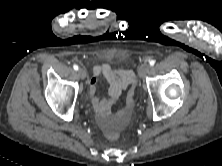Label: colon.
Here are the masks:
<instances>
[{"label": "colon", "instance_id": "5ec220e1", "mask_svg": "<svg viewBox=\"0 0 222 166\" xmlns=\"http://www.w3.org/2000/svg\"><path fill=\"white\" fill-rule=\"evenodd\" d=\"M133 91H130L127 98V104H126V110L129 109L133 103ZM125 111H122L120 113V116L124 114ZM107 137L111 140H115L118 137V134L115 130H110L106 133Z\"/></svg>", "mask_w": 222, "mask_h": 166}]
</instances>
